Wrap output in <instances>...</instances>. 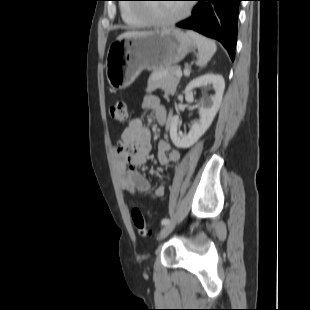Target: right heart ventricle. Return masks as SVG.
<instances>
[{
	"label": "right heart ventricle",
	"instance_id": "1",
	"mask_svg": "<svg viewBox=\"0 0 310 310\" xmlns=\"http://www.w3.org/2000/svg\"><path fill=\"white\" fill-rule=\"evenodd\" d=\"M135 9L136 8H134L131 4H121L120 14L122 20L130 28H140L146 26L148 24L146 18L138 16Z\"/></svg>",
	"mask_w": 310,
	"mask_h": 310
}]
</instances>
